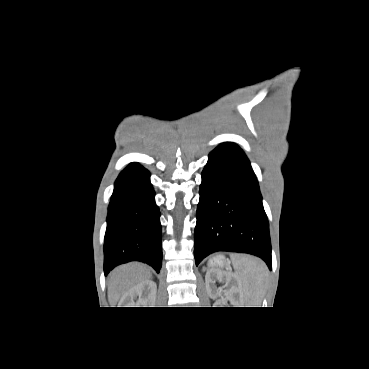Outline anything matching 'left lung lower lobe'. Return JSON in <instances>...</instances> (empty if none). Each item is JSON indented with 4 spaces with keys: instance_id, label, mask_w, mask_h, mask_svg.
<instances>
[{
    "instance_id": "left-lung-lower-lobe-1",
    "label": "left lung lower lobe",
    "mask_w": 369,
    "mask_h": 369,
    "mask_svg": "<svg viewBox=\"0 0 369 369\" xmlns=\"http://www.w3.org/2000/svg\"><path fill=\"white\" fill-rule=\"evenodd\" d=\"M194 255L198 265L217 251L242 252L272 267L269 224L257 178L242 149L223 143L202 172Z\"/></svg>"
}]
</instances>
